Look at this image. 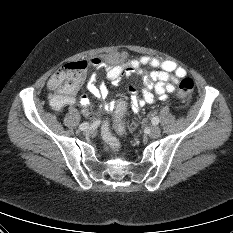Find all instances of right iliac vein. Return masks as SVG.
<instances>
[{
  "label": "right iliac vein",
  "mask_w": 233,
  "mask_h": 233,
  "mask_svg": "<svg viewBox=\"0 0 233 233\" xmlns=\"http://www.w3.org/2000/svg\"><path fill=\"white\" fill-rule=\"evenodd\" d=\"M94 133H95V130L93 128H90L89 130L88 129H82L81 130V135L82 136H88L89 134L93 135Z\"/></svg>",
  "instance_id": "obj_1"
}]
</instances>
